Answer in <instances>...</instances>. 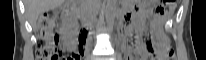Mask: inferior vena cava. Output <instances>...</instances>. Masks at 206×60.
Segmentation results:
<instances>
[{
    "mask_svg": "<svg viewBox=\"0 0 206 60\" xmlns=\"http://www.w3.org/2000/svg\"><path fill=\"white\" fill-rule=\"evenodd\" d=\"M88 20L92 23L96 22V14L95 12H89L88 13Z\"/></svg>",
    "mask_w": 206,
    "mask_h": 60,
    "instance_id": "inferior-vena-cava-1",
    "label": "inferior vena cava"
}]
</instances>
